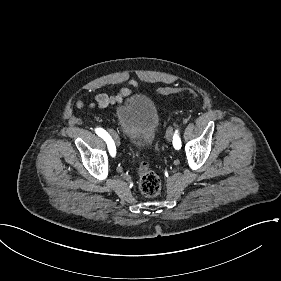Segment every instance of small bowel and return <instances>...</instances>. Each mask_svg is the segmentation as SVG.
<instances>
[{
	"instance_id": "obj_1",
	"label": "small bowel",
	"mask_w": 281,
	"mask_h": 281,
	"mask_svg": "<svg viewBox=\"0 0 281 281\" xmlns=\"http://www.w3.org/2000/svg\"><path fill=\"white\" fill-rule=\"evenodd\" d=\"M138 87V84L135 80L131 79L126 83V86L121 88L120 91L116 93H100L97 94L95 97V103L94 105L99 108H106L110 104H121L123 100L132 95L134 90ZM79 107H83L84 103L79 102Z\"/></svg>"
}]
</instances>
